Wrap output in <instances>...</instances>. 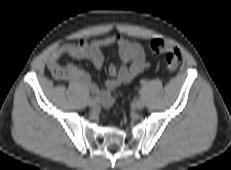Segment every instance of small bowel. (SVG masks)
Instances as JSON below:
<instances>
[{
  "label": "small bowel",
  "instance_id": "c3829d8e",
  "mask_svg": "<svg viewBox=\"0 0 231 170\" xmlns=\"http://www.w3.org/2000/svg\"><path fill=\"white\" fill-rule=\"evenodd\" d=\"M108 46H117L121 64H111L108 67L109 78L100 87L92 81L91 76L80 69L71 75V81L85 86L105 106L113 103L112 91L120 85L130 83L150 66L146 59L143 47L138 41H129L120 35H110L93 41L80 40L77 43H68L56 48L48 58L49 69L55 68L64 55H70L76 59L90 61L93 66L100 69L104 63L102 49Z\"/></svg>",
  "mask_w": 231,
  "mask_h": 170
}]
</instances>
